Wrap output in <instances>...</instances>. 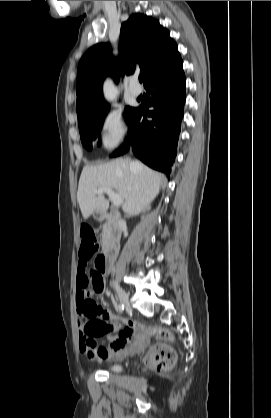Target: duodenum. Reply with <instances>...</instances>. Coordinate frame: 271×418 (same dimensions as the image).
Returning a JSON list of instances; mask_svg holds the SVG:
<instances>
[{
	"instance_id": "410a0bca",
	"label": "duodenum",
	"mask_w": 271,
	"mask_h": 418,
	"mask_svg": "<svg viewBox=\"0 0 271 418\" xmlns=\"http://www.w3.org/2000/svg\"><path fill=\"white\" fill-rule=\"evenodd\" d=\"M100 221H106V240L102 253L96 260L98 268L102 269V273H107L116 260L120 237L124 230L123 225L118 221L117 215L113 212H101L96 215Z\"/></svg>"
}]
</instances>
